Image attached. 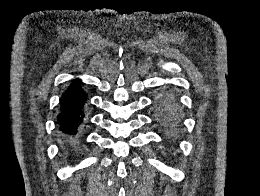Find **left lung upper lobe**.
Returning <instances> with one entry per match:
<instances>
[{
	"label": "left lung upper lobe",
	"instance_id": "5c2ea615",
	"mask_svg": "<svg viewBox=\"0 0 260 196\" xmlns=\"http://www.w3.org/2000/svg\"><path fill=\"white\" fill-rule=\"evenodd\" d=\"M156 122L165 132V137L174 142L182 129V115L176 97L164 93L157 99Z\"/></svg>",
	"mask_w": 260,
	"mask_h": 196
}]
</instances>
